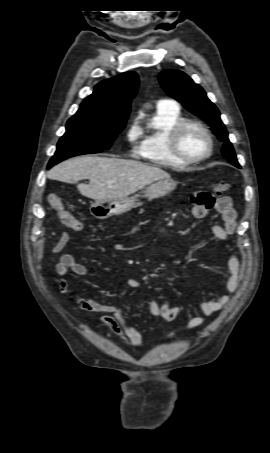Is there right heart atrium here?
Segmentation results:
<instances>
[{
	"label": "right heart atrium",
	"mask_w": 270,
	"mask_h": 453,
	"mask_svg": "<svg viewBox=\"0 0 270 453\" xmlns=\"http://www.w3.org/2000/svg\"><path fill=\"white\" fill-rule=\"evenodd\" d=\"M141 136V129L136 121L132 122L126 132V140L133 147V152L136 150L134 147Z\"/></svg>",
	"instance_id": "d8ad5b80"
}]
</instances>
